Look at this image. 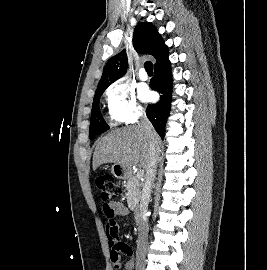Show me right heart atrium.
<instances>
[{
  "instance_id": "obj_1",
  "label": "right heart atrium",
  "mask_w": 267,
  "mask_h": 270,
  "mask_svg": "<svg viewBox=\"0 0 267 270\" xmlns=\"http://www.w3.org/2000/svg\"><path fill=\"white\" fill-rule=\"evenodd\" d=\"M105 99L109 114L117 123L136 122L144 113L134 90L122 80L115 81L106 89Z\"/></svg>"
}]
</instances>
